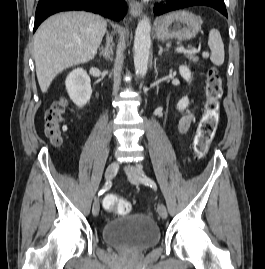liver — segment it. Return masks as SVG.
<instances>
[{
	"mask_svg": "<svg viewBox=\"0 0 265 269\" xmlns=\"http://www.w3.org/2000/svg\"><path fill=\"white\" fill-rule=\"evenodd\" d=\"M99 15L72 11L46 19L34 35V60L40 89L46 93L64 69L92 60L106 32Z\"/></svg>",
	"mask_w": 265,
	"mask_h": 269,
	"instance_id": "6515ba94",
	"label": "liver"
}]
</instances>
